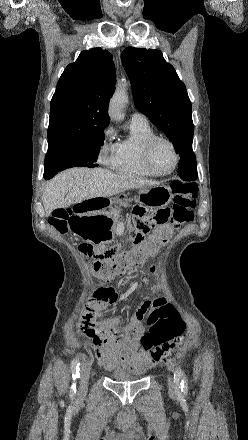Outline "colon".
Listing matches in <instances>:
<instances>
[{"label":"colon","instance_id":"obj_1","mask_svg":"<svg viewBox=\"0 0 248 440\" xmlns=\"http://www.w3.org/2000/svg\"><path fill=\"white\" fill-rule=\"evenodd\" d=\"M175 194V203L172 208L159 209L150 213L145 206L135 207L130 219L132 225L131 239L137 251L130 255H119L118 247L113 246L101 249L95 246H80V252L92 257V269L98 278L108 281L116 273L134 264H141L144 260L154 256L158 249L171 238L174 229L193 217L196 204L197 187L193 183L173 181L171 184ZM72 216L67 209H58L50 218V225L65 233L70 230ZM114 295L111 288H100L95 299H89L92 305L97 299L108 300ZM149 330L142 338L143 347L150 352L153 362L166 360L168 353L178 347V338L184 331L183 322L178 317L173 306L166 302L158 303L154 300V308L148 317Z\"/></svg>","mask_w":248,"mask_h":440}]
</instances>
